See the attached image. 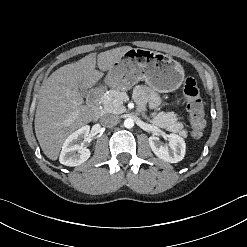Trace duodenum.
Returning a JSON list of instances; mask_svg holds the SVG:
<instances>
[{"label": "duodenum", "instance_id": "410a0bca", "mask_svg": "<svg viewBox=\"0 0 247 247\" xmlns=\"http://www.w3.org/2000/svg\"><path fill=\"white\" fill-rule=\"evenodd\" d=\"M102 94H103V89L101 87L94 88L90 92V95H89V98H88L89 104L92 107L97 108L98 103L100 101V98H101Z\"/></svg>", "mask_w": 247, "mask_h": 247}]
</instances>
